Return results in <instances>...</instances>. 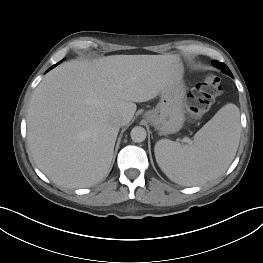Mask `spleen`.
I'll use <instances>...</instances> for the list:
<instances>
[{"label":"spleen","mask_w":263,"mask_h":263,"mask_svg":"<svg viewBox=\"0 0 263 263\" xmlns=\"http://www.w3.org/2000/svg\"><path fill=\"white\" fill-rule=\"evenodd\" d=\"M240 131L238 107L226 104L195 134L193 144L159 140L154 148L156 161L177 184L205 183L225 173L236 155Z\"/></svg>","instance_id":"obj_1"}]
</instances>
